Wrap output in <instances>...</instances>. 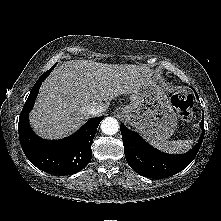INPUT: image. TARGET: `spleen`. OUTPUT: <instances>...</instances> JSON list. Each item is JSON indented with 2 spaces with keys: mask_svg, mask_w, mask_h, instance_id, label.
<instances>
[{
  "mask_svg": "<svg viewBox=\"0 0 221 221\" xmlns=\"http://www.w3.org/2000/svg\"><path fill=\"white\" fill-rule=\"evenodd\" d=\"M151 144L166 153L179 154L188 151L193 145L192 140L152 141Z\"/></svg>",
  "mask_w": 221,
  "mask_h": 221,
  "instance_id": "spleen-1",
  "label": "spleen"
}]
</instances>
